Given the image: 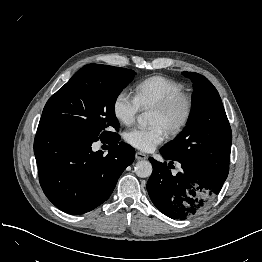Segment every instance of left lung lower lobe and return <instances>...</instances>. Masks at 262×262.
<instances>
[{
    "instance_id": "1",
    "label": "left lung lower lobe",
    "mask_w": 262,
    "mask_h": 262,
    "mask_svg": "<svg viewBox=\"0 0 262 262\" xmlns=\"http://www.w3.org/2000/svg\"><path fill=\"white\" fill-rule=\"evenodd\" d=\"M167 160H175L160 150ZM153 172L147 182V191L153 204L172 219L184 220L203 210L219 193L228 176L229 166L216 175H206L194 166L181 161L176 175L167 163L149 158ZM177 161V160H176Z\"/></svg>"
}]
</instances>
